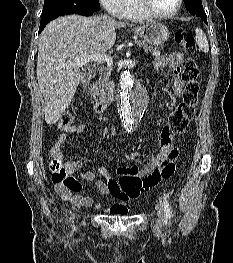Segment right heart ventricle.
I'll list each match as a JSON object with an SVG mask.
<instances>
[{
    "label": "right heart ventricle",
    "mask_w": 233,
    "mask_h": 263,
    "mask_svg": "<svg viewBox=\"0 0 233 263\" xmlns=\"http://www.w3.org/2000/svg\"><path fill=\"white\" fill-rule=\"evenodd\" d=\"M117 15L132 20H147L151 18L139 5L138 0H123Z\"/></svg>",
    "instance_id": "right-heart-ventricle-1"
}]
</instances>
